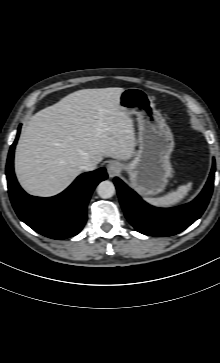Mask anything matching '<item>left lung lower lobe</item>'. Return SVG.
<instances>
[{"mask_svg": "<svg viewBox=\"0 0 220 363\" xmlns=\"http://www.w3.org/2000/svg\"><path fill=\"white\" fill-rule=\"evenodd\" d=\"M215 160L209 179L191 203L175 209H158L145 203L119 178L114 179L120 203L130 224L140 233L150 236H172L185 230L206 209L214 186Z\"/></svg>", "mask_w": 220, "mask_h": 363, "instance_id": "left-lung-lower-lobe-1", "label": "left lung lower lobe"}]
</instances>
